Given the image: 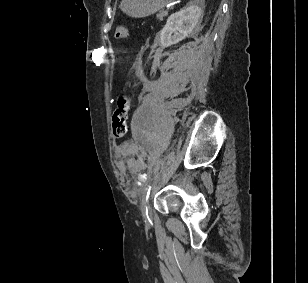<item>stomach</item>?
<instances>
[{
    "label": "stomach",
    "instance_id": "obj_1",
    "mask_svg": "<svg viewBox=\"0 0 308 283\" xmlns=\"http://www.w3.org/2000/svg\"><path fill=\"white\" fill-rule=\"evenodd\" d=\"M173 0H122L121 10L133 18H143L150 16Z\"/></svg>",
    "mask_w": 308,
    "mask_h": 283
}]
</instances>
